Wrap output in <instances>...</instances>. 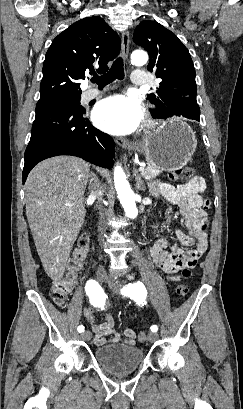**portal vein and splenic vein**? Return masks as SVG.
Listing matches in <instances>:
<instances>
[{
    "label": "portal vein and splenic vein",
    "mask_w": 243,
    "mask_h": 409,
    "mask_svg": "<svg viewBox=\"0 0 243 409\" xmlns=\"http://www.w3.org/2000/svg\"><path fill=\"white\" fill-rule=\"evenodd\" d=\"M139 171H140L141 173H143V172L145 171V168H144V167H140V168H139Z\"/></svg>",
    "instance_id": "obj_1"
}]
</instances>
